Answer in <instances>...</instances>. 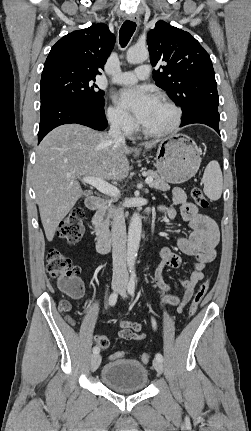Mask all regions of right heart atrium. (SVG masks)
<instances>
[{
    "label": "right heart atrium",
    "mask_w": 251,
    "mask_h": 431,
    "mask_svg": "<svg viewBox=\"0 0 251 431\" xmlns=\"http://www.w3.org/2000/svg\"><path fill=\"white\" fill-rule=\"evenodd\" d=\"M108 123L116 130L129 135L135 130L133 119L117 106H109L106 110Z\"/></svg>",
    "instance_id": "d8ad5b80"
}]
</instances>
